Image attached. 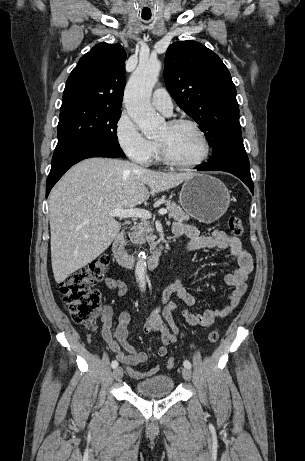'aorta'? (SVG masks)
<instances>
[{
    "label": "aorta",
    "instance_id": "1",
    "mask_svg": "<svg viewBox=\"0 0 305 461\" xmlns=\"http://www.w3.org/2000/svg\"><path fill=\"white\" fill-rule=\"evenodd\" d=\"M161 70L158 60L140 62L132 73L125 89L124 102L130 118L139 126L147 138L158 136L165 124V119L152 108L150 96ZM146 254L140 252L135 269V276L140 291L146 290Z\"/></svg>",
    "mask_w": 305,
    "mask_h": 461
}]
</instances>
